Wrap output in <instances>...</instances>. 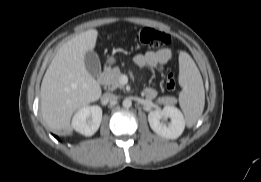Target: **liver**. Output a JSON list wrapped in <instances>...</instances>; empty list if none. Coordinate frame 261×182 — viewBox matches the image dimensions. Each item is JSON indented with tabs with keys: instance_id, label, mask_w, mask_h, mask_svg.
Masks as SVG:
<instances>
[{
	"instance_id": "obj_1",
	"label": "liver",
	"mask_w": 261,
	"mask_h": 182,
	"mask_svg": "<svg viewBox=\"0 0 261 182\" xmlns=\"http://www.w3.org/2000/svg\"><path fill=\"white\" fill-rule=\"evenodd\" d=\"M98 31L90 29L64 43L51 61L41 83V113L54 131L70 132L75 111L97 101L101 87L88 73L84 58L95 48Z\"/></svg>"
}]
</instances>
